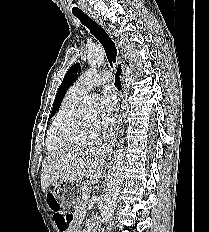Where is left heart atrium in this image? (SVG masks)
Listing matches in <instances>:
<instances>
[{
	"mask_svg": "<svg viewBox=\"0 0 209 232\" xmlns=\"http://www.w3.org/2000/svg\"><path fill=\"white\" fill-rule=\"evenodd\" d=\"M118 102V95L115 88L108 86L102 91L99 98L100 117L98 123L105 121L116 109Z\"/></svg>",
	"mask_w": 209,
	"mask_h": 232,
	"instance_id": "obj_1",
	"label": "left heart atrium"
}]
</instances>
